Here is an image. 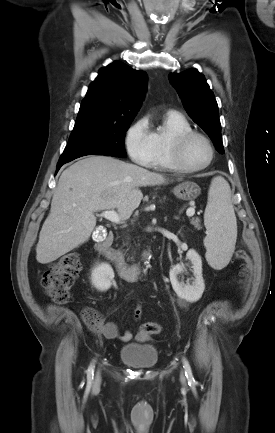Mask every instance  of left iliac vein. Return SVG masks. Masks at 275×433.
<instances>
[{
  "label": "left iliac vein",
  "instance_id": "1",
  "mask_svg": "<svg viewBox=\"0 0 275 433\" xmlns=\"http://www.w3.org/2000/svg\"><path fill=\"white\" fill-rule=\"evenodd\" d=\"M181 381L185 382V376H184L183 372L181 373Z\"/></svg>",
  "mask_w": 275,
  "mask_h": 433
}]
</instances>
